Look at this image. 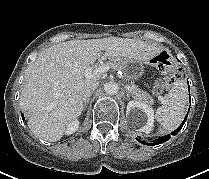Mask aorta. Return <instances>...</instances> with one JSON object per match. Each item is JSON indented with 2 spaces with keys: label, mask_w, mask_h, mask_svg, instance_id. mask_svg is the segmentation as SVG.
<instances>
[{
  "label": "aorta",
  "mask_w": 209,
  "mask_h": 179,
  "mask_svg": "<svg viewBox=\"0 0 209 179\" xmlns=\"http://www.w3.org/2000/svg\"><path fill=\"white\" fill-rule=\"evenodd\" d=\"M118 89H119L118 85L114 82L107 83L104 86V91L108 95H115L118 92Z\"/></svg>",
  "instance_id": "762f6f07"
}]
</instances>
